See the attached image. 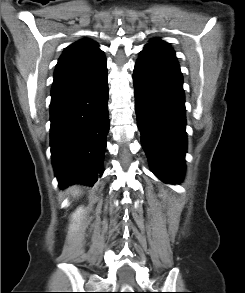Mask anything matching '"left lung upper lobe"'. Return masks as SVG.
Listing matches in <instances>:
<instances>
[{"label": "left lung upper lobe", "mask_w": 245, "mask_h": 293, "mask_svg": "<svg viewBox=\"0 0 245 293\" xmlns=\"http://www.w3.org/2000/svg\"><path fill=\"white\" fill-rule=\"evenodd\" d=\"M146 47H154L156 49L163 50V51H166L168 53L175 55V52L172 50V48L169 46V44L164 41H161L158 38L152 39L150 41V43L146 45Z\"/></svg>", "instance_id": "left-lung-upper-lobe-1"}]
</instances>
